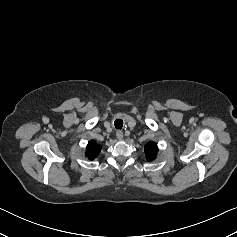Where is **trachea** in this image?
<instances>
[{
  "label": "trachea",
  "instance_id": "1",
  "mask_svg": "<svg viewBox=\"0 0 237 237\" xmlns=\"http://www.w3.org/2000/svg\"><path fill=\"white\" fill-rule=\"evenodd\" d=\"M115 128L116 129H122L123 127V121L121 119H116L114 122Z\"/></svg>",
  "mask_w": 237,
  "mask_h": 237
}]
</instances>
